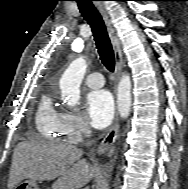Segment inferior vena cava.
<instances>
[{"mask_svg": "<svg viewBox=\"0 0 188 189\" xmlns=\"http://www.w3.org/2000/svg\"><path fill=\"white\" fill-rule=\"evenodd\" d=\"M84 134H85L86 137H90L91 136V130L89 128H85Z\"/></svg>", "mask_w": 188, "mask_h": 189, "instance_id": "602c4592", "label": "inferior vena cava"}]
</instances>
